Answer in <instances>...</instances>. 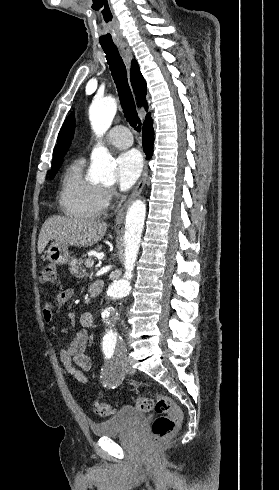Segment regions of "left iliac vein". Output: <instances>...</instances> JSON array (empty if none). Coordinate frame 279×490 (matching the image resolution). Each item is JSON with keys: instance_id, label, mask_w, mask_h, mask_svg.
Segmentation results:
<instances>
[{"instance_id": "obj_1", "label": "left iliac vein", "mask_w": 279, "mask_h": 490, "mask_svg": "<svg viewBox=\"0 0 279 490\" xmlns=\"http://www.w3.org/2000/svg\"><path fill=\"white\" fill-rule=\"evenodd\" d=\"M121 360L126 361L128 359V356L126 354L121 355Z\"/></svg>"}]
</instances>
